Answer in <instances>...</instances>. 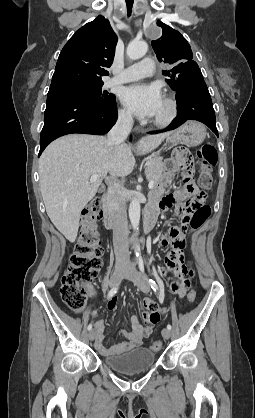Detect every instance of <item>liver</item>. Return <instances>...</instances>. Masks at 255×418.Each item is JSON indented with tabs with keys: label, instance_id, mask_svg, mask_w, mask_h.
Wrapping results in <instances>:
<instances>
[{
	"label": "liver",
	"instance_id": "6515ba94",
	"mask_svg": "<svg viewBox=\"0 0 255 418\" xmlns=\"http://www.w3.org/2000/svg\"><path fill=\"white\" fill-rule=\"evenodd\" d=\"M170 133L143 137L136 153L156 149ZM132 145L111 147L104 136L71 134L52 142L39 160L40 189L46 212L54 226L73 243L82 209L93 199L103 178L125 177L132 173L135 159ZM92 175H98L90 182Z\"/></svg>",
	"mask_w": 255,
	"mask_h": 418
}]
</instances>
